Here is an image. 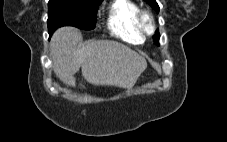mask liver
<instances>
[{"label": "liver", "mask_w": 227, "mask_h": 142, "mask_svg": "<svg viewBox=\"0 0 227 142\" xmlns=\"http://www.w3.org/2000/svg\"><path fill=\"white\" fill-rule=\"evenodd\" d=\"M81 38L78 29L63 27L50 41L54 73L66 85L75 86L74 74L81 68L90 84L130 89L147 68L145 58L124 44L97 40L79 47Z\"/></svg>", "instance_id": "liver-1"}]
</instances>
